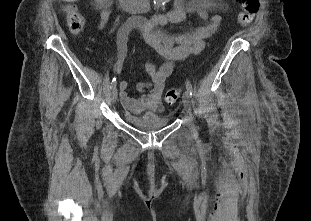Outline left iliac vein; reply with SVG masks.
<instances>
[{"label": "left iliac vein", "instance_id": "obj_1", "mask_svg": "<svg viewBox=\"0 0 311 221\" xmlns=\"http://www.w3.org/2000/svg\"><path fill=\"white\" fill-rule=\"evenodd\" d=\"M183 104H184L188 114L190 116H192V113H191V97L187 91L184 92V94H183Z\"/></svg>", "mask_w": 311, "mask_h": 221}]
</instances>
